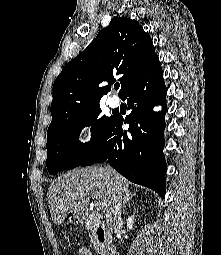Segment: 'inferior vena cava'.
I'll list each match as a JSON object with an SVG mask.
<instances>
[{"mask_svg":"<svg viewBox=\"0 0 221 255\" xmlns=\"http://www.w3.org/2000/svg\"><path fill=\"white\" fill-rule=\"evenodd\" d=\"M109 167L110 166H106V169H108ZM122 200V192L120 190H117L113 195L109 210L106 213L107 226L111 232L122 224Z\"/></svg>","mask_w":221,"mask_h":255,"instance_id":"602c4592","label":"inferior vena cava"}]
</instances>
